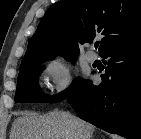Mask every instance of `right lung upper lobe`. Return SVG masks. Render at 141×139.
<instances>
[{
    "mask_svg": "<svg viewBox=\"0 0 141 139\" xmlns=\"http://www.w3.org/2000/svg\"><path fill=\"white\" fill-rule=\"evenodd\" d=\"M102 36L100 56L107 50L141 37V0H61L41 19L20 69L42 64L60 52L67 59L79 45Z\"/></svg>",
    "mask_w": 141,
    "mask_h": 139,
    "instance_id": "1",
    "label": "right lung upper lobe"
}]
</instances>
